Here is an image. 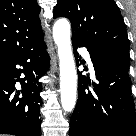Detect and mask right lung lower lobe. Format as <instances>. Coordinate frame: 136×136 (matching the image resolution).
<instances>
[{
    "mask_svg": "<svg viewBox=\"0 0 136 136\" xmlns=\"http://www.w3.org/2000/svg\"><path fill=\"white\" fill-rule=\"evenodd\" d=\"M45 49L41 37L21 51L0 58V133L40 136L42 87L39 78L49 66ZM21 75L24 78H20ZM16 82H20L21 90L16 89Z\"/></svg>",
    "mask_w": 136,
    "mask_h": 136,
    "instance_id": "98d812e1",
    "label": "right lung lower lobe"
}]
</instances>
